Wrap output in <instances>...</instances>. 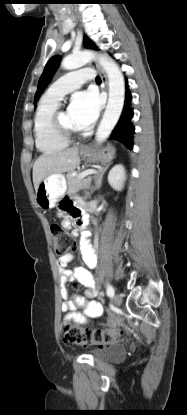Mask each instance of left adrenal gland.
Listing matches in <instances>:
<instances>
[{
	"label": "left adrenal gland",
	"instance_id": "obj_1",
	"mask_svg": "<svg viewBox=\"0 0 187 415\" xmlns=\"http://www.w3.org/2000/svg\"><path fill=\"white\" fill-rule=\"evenodd\" d=\"M111 163L104 165L99 172L97 173V175L94 177L95 180V189H99L101 187L102 184V178L103 175L105 173V171L108 169V167L110 166Z\"/></svg>",
	"mask_w": 187,
	"mask_h": 415
}]
</instances>
